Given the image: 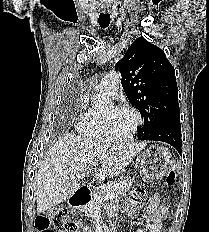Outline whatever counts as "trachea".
I'll return each mask as SVG.
<instances>
[{
    "mask_svg": "<svg viewBox=\"0 0 209 232\" xmlns=\"http://www.w3.org/2000/svg\"><path fill=\"white\" fill-rule=\"evenodd\" d=\"M98 23L101 28H106L110 24V14L109 13H100L98 18Z\"/></svg>",
    "mask_w": 209,
    "mask_h": 232,
    "instance_id": "obj_1",
    "label": "trachea"
}]
</instances>
